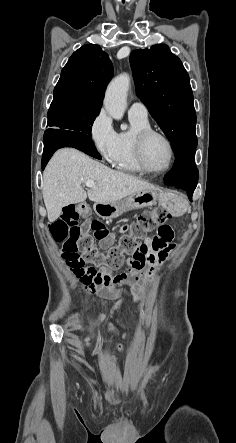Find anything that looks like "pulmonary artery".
Listing matches in <instances>:
<instances>
[{
	"label": "pulmonary artery",
	"instance_id": "e3ab8cb5",
	"mask_svg": "<svg viewBox=\"0 0 236 443\" xmlns=\"http://www.w3.org/2000/svg\"><path fill=\"white\" fill-rule=\"evenodd\" d=\"M129 116L138 117L142 119L148 118V109L146 105L140 101H135L129 108Z\"/></svg>",
	"mask_w": 236,
	"mask_h": 443
}]
</instances>
